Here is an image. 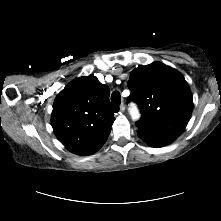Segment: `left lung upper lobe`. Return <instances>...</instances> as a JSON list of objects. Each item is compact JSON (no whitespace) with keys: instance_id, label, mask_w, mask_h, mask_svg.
<instances>
[{"instance_id":"5c2ea615","label":"left lung upper lobe","mask_w":221,"mask_h":221,"mask_svg":"<svg viewBox=\"0 0 221 221\" xmlns=\"http://www.w3.org/2000/svg\"><path fill=\"white\" fill-rule=\"evenodd\" d=\"M129 101L141 110L138 129L176 139L192 113V93L183 75L165 64L139 66L130 74Z\"/></svg>"}]
</instances>
